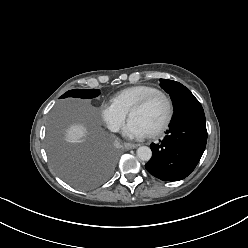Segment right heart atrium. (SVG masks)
I'll return each mask as SVG.
<instances>
[{
	"label": "right heart atrium",
	"instance_id": "obj_1",
	"mask_svg": "<svg viewBox=\"0 0 248 248\" xmlns=\"http://www.w3.org/2000/svg\"><path fill=\"white\" fill-rule=\"evenodd\" d=\"M100 114L106 126L113 132L121 129L127 117V112L113 101L103 103L100 107Z\"/></svg>",
	"mask_w": 248,
	"mask_h": 248
}]
</instances>
